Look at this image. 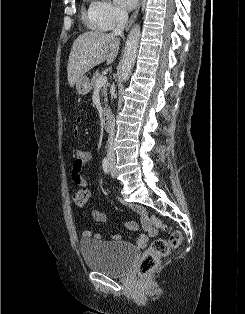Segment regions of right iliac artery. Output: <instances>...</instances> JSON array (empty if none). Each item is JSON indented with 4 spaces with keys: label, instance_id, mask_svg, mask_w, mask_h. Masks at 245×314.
Returning a JSON list of instances; mask_svg holds the SVG:
<instances>
[{
    "label": "right iliac artery",
    "instance_id": "82829eb1",
    "mask_svg": "<svg viewBox=\"0 0 245 314\" xmlns=\"http://www.w3.org/2000/svg\"><path fill=\"white\" fill-rule=\"evenodd\" d=\"M102 167H103V171L105 172V174H108L109 173L110 164H109V160L107 158L103 159Z\"/></svg>",
    "mask_w": 245,
    "mask_h": 314
}]
</instances>
